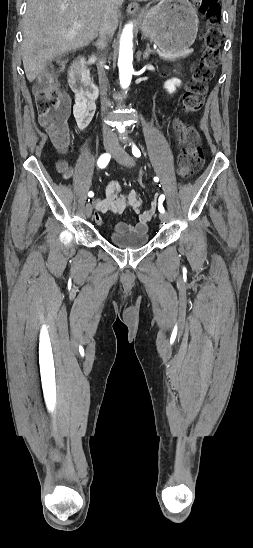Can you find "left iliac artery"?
<instances>
[{
    "instance_id": "obj_1",
    "label": "left iliac artery",
    "mask_w": 253,
    "mask_h": 548,
    "mask_svg": "<svg viewBox=\"0 0 253 548\" xmlns=\"http://www.w3.org/2000/svg\"><path fill=\"white\" fill-rule=\"evenodd\" d=\"M132 153H133V155H134L135 157H140V156H141L140 150H139L134 144H133V146H132ZM154 181H155V182H158V181H159V178H158V177H154ZM164 199H165V196H164V195H161V196L159 197L158 210H159V212H161V213H164V212H165V209H164L163 204H162L163 201H164Z\"/></svg>"
}]
</instances>
